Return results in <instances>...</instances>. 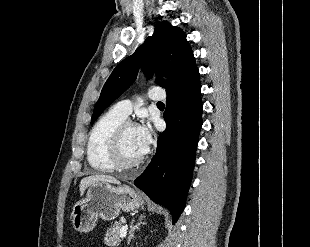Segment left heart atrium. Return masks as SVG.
Masks as SVG:
<instances>
[{
	"label": "left heart atrium",
	"instance_id": "39dd6f15",
	"mask_svg": "<svg viewBox=\"0 0 310 247\" xmlns=\"http://www.w3.org/2000/svg\"><path fill=\"white\" fill-rule=\"evenodd\" d=\"M137 129H138V138H139L141 150H142V153L145 154L151 144L152 130L148 123L138 126Z\"/></svg>",
	"mask_w": 310,
	"mask_h": 247
}]
</instances>
